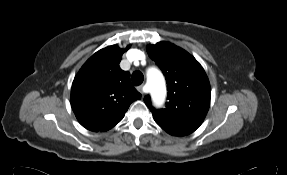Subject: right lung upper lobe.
<instances>
[{
  "label": "right lung upper lobe",
  "mask_w": 287,
  "mask_h": 175,
  "mask_svg": "<svg viewBox=\"0 0 287 175\" xmlns=\"http://www.w3.org/2000/svg\"><path fill=\"white\" fill-rule=\"evenodd\" d=\"M130 48L108 46L92 55L79 70L71 88V106L86 129L104 132L119 123L130 104L141 94L130 82V73L119 63Z\"/></svg>",
  "instance_id": "right-lung-upper-lobe-1"
}]
</instances>
